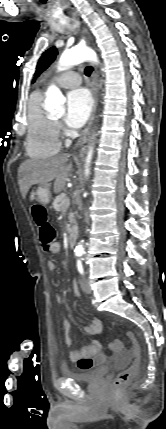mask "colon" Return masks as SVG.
Masks as SVG:
<instances>
[{
    "instance_id": "colon-1",
    "label": "colon",
    "mask_w": 166,
    "mask_h": 429,
    "mask_svg": "<svg viewBox=\"0 0 166 429\" xmlns=\"http://www.w3.org/2000/svg\"><path fill=\"white\" fill-rule=\"evenodd\" d=\"M32 215L35 220L36 225L38 226L40 232V241L42 247L45 250H48L52 244L56 242L57 232L54 227L50 224L48 220V215L46 209L40 205L35 204L32 207ZM127 336L132 341L133 347L131 349V354L134 356V361L129 367L121 371L113 382V387L116 390H121L125 388L136 376L138 367H139V346L136 338L131 332L127 333ZM110 348L113 351H121L123 349L122 341L115 339L110 343Z\"/></svg>"
}]
</instances>
